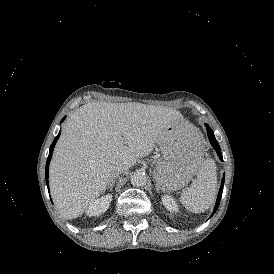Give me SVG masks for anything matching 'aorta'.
<instances>
[{
  "label": "aorta",
  "instance_id": "obj_1",
  "mask_svg": "<svg viewBox=\"0 0 274 274\" xmlns=\"http://www.w3.org/2000/svg\"><path fill=\"white\" fill-rule=\"evenodd\" d=\"M147 183V178L140 172H135L131 175V184L136 187L144 186Z\"/></svg>",
  "mask_w": 274,
  "mask_h": 274
}]
</instances>
